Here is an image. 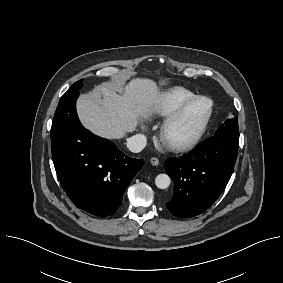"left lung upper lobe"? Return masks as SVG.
<instances>
[{
    "label": "left lung upper lobe",
    "mask_w": 283,
    "mask_h": 283,
    "mask_svg": "<svg viewBox=\"0 0 283 283\" xmlns=\"http://www.w3.org/2000/svg\"><path fill=\"white\" fill-rule=\"evenodd\" d=\"M215 136L224 138L234 144H239L238 119L234 118L227 120L216 130Z\"/></svg>",
    "instance_id": "obj_1"
}]
</instances>
